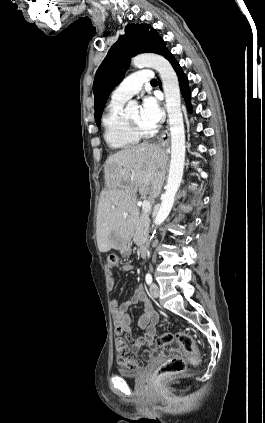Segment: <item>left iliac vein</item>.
<instances>
[{
  "label": "left iliac vein",
  "mask_w": 265,
  "mask_h": 423,
  "mask_svg": "<svg viewBox=\"0 0 265 423\" xmlns=\"http://www.w3.org/2000/svg\"><path fill=\"white\" fill-rule=\"evenodd\" d=\"M150 294L154 298H158L159 297V294H160L159 287L156 284H154V283L151 284V286H150Z\"/></svg>",
  "instance_id": "left-iliac-vein-1"
}]
</instances>
